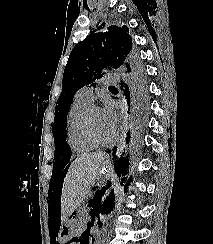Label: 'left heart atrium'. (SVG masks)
Segmentation results:
<instances>
[{
  "mask_svg": "<svg viewBox=\"0 0 213 244\" xmlns=\"http://www.w3.org/2000/svg\"><path fill=\"white\" fill-rule=\"evenodd\" d=\"M102 114L105 122L114 130L116 125V113L111 105H106L104 109H102Z\"/></svg>",
  "mask_w": 213,
  "mask_h": 244,
  "instance_id": "left-heart-atrium-1",
  "label": "left heart atrium"
}]
</instances>
